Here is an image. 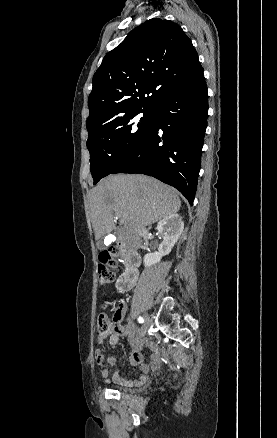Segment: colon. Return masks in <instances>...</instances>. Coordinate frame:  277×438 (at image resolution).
Returning a JSON list of instances; mask_svg holds the SVG:
<instances>
[{"instance_id": "1", "label": "colon", "mask_w": 277, "mask_h": 438, "mask_svg": "<svg viewBox=\"0 0 277 438\" xmlns=\"http://www.w3.org/2000/svg\"><path fill=\"white\" fill-rule=\"evenodd\" d=\"M120 254L116 246L109 247L99 256L100 263L97 264V282L104 286L112 284L115 280L114 267ZM113 318V319H112ZM120 319V311L117 307L113 312H104L101 319L94 321V328L99 330L100 334H113L114 328L117 327V320Z\"/></svg>"}]
</instances>
